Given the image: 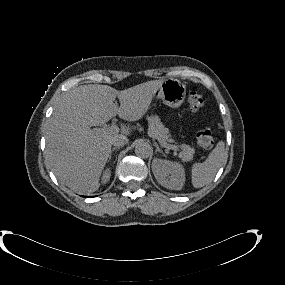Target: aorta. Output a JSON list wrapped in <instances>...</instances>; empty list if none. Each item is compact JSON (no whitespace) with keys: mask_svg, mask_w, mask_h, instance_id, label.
Segmentation results:
<instances>
[{"mask_svg":"<svg viewBox=\"0 0 285 285\" xmlns=\"http://www.w3.org/2000/svg\"><path fill=\"white\" fill-rule=\"evenodd\" d=\"M135 154L141 158H148L151 154V146L145 141H138L135 145Z\"/></svg>","mask_w":285,"mask_h":285,"instance_id":"762f6f07","label":"aorta"}]
</instances>
